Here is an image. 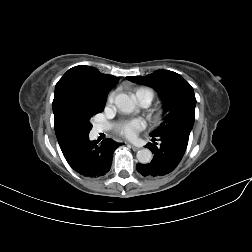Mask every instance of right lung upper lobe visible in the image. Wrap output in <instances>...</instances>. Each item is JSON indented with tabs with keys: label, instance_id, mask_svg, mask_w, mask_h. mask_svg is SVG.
I'll list each match as a JSON object with an SVG mask.
<instances>
[{
	"label": "right lung upper lobe",
	"instance_id": "cb5924a9",
	"mask_svg": "<svg viewBox=\"0 0 252 252\" xmlns=\"http://www.w3.org/2000/svg\"><path fill=\"white\" fill-rule=\"evenodd\" d=\"M119 78L102 74L90 66H75L69 69L55 86L52 103L55 117V133L61 144L73 136L64 120V105L71 97L87 102H106L107 93L118 83Z\"/></svg>",
	"mask_w": 252,
	"mask_h": 252
}]
</instances>
